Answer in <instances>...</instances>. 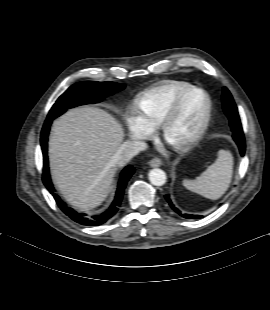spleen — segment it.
<instances>
[{"label": "spleen", "instance_id": "1", "mask_svg": "<svg viewBox=\"0 0 270 310\" xmlns=\"http://www.w3.org/2000/svg\"><path fill=\"white\" fill-rule=\"evenodd\" d=\"M233 156L229 151L220 150L216 161L195 180H184V186L205 198L219 199L228 189L233 175Z\"/></svg>", "mask_w": 270, "mask_h": 310}]
</instances>
